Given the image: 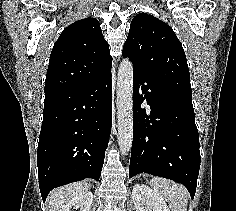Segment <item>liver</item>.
Masks as SVG:
<instances>
[{
    "instance_id": "6515ba94",
    "label": "liver",
    "mask_w": 236,
    "mask_h": 211,
    "mask_svg": "<svg viewBox=\"0 0 236 211\" xmlns=\"http://www.w3.org/2000/svg\"><path fill=\"white\" fill-rule=\"evenodd\" d=\"M90 185L87 182H75L54 189L48 196L49 211H59L60 208L76 196L88 191Z\"/></svg>"
}]
</instances>
